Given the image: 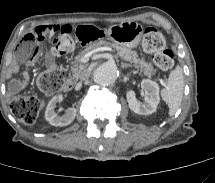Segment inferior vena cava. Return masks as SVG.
Listing matches in <instances>:
<instances>
[{
    "mask_svg": "<svg viewBox=\"0 0 215 183\" xmlns=\"http://www.w3.org/2000/svg\"><path fill=\"white\" fill-rule=\"evenodd\" d=\"M89 76H90V71L84 70L80 75V80L85 81L89 78Z\"/></svg>",
    "mask_w": 215,
    "mask_h": 183,
    "instance_id": "obj_1",
    "label": "inferior vena cava"
}]
</instances>
